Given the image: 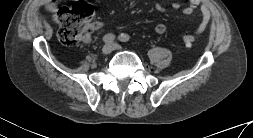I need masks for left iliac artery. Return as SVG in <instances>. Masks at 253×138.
<instances>
[{
    "label": "left iliac artery",
    "mask_w": 253,
    "mask_h": 138,
    "mask_svg": "<svg viewBox=\"0 0 253 138\" xmlns=\"http://www.w3.org/2000/svg\"><path fill=\"white\" fill-rule=\"evenodd\" d=\"M129 36L127 35V34H121L120 36H119V40L121 41V42H128L129 41Z\"/></svg>",
    "instance_id": "44dca946"
}]
</instances>
